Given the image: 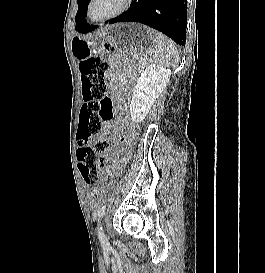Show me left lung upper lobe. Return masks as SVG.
Instances as JSON below:
<instances>
[{"label":"left lung upper lobe","instance_id":"left-lung-upper-lobe-1","mask_svg":"<svg viewBox=\"0 0 265 273\" xmlns=\"http://www.w3.org/2000/svg\"><path fill=\"white\" fill-rule=\"evenodd\" d=\"M90 0H77L78 11L75 16L76 27L75 29L79 31L81 27L86 23L85 17L87 16V6Z\"/></svg>","mask_w":265,"mask_h":273}]
</instances>
